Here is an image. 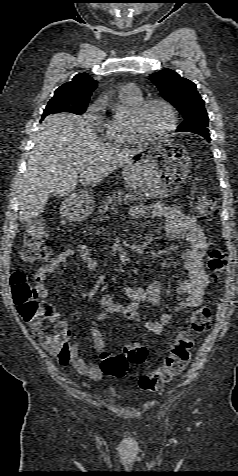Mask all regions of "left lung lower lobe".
Masks as SVG:
<instances>
[{"label": "left lung lower lobe", "instance_id": "1", "mask_svg": "<svg viewBox=\"0 0 238 476\" xmlns=\"http://www.w3.org/2000/svg\"><path fill=\"white\" fill-rule=\"evenodd\" d=\"M198 134L202 135L203 137H205L208 141H210V135L208 132H199Z\"/></svg>", "mask_w": 238, "mask_h": 476}]
</instances>
